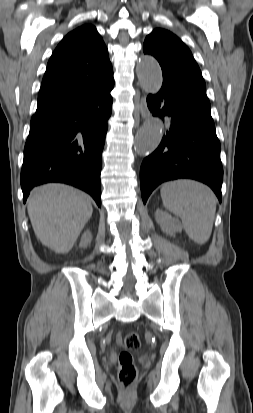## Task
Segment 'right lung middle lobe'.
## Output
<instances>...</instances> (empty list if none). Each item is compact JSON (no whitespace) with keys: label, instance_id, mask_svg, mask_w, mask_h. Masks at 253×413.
<instances>
[{"label":"right lung middle lobe","instance_id":"right-lung-middle-lobe-1","mask_svg":"<svg viewBox=\"0 0 253 413\" xmlns=\"http://www.w3.org/2000/svg\"><path fill=\"white\" fill-rule=\"evenodd\" d=\"M48 117H32L30 128L46 122Z\"/></svg>","mask_w":253,"mask_h":413}]
</instances>
